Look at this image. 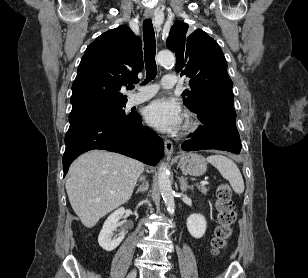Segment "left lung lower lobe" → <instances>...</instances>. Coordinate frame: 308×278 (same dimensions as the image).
I'll return each instance as SVG.
<instances>
[{"instance_id": "0a47b994", "label": "left lung lower lobe", "mask_w": 308, "mask_h": 278, "mask_svg": "<svg viewBox=\"0 0 308 278\" xmlns=\"http://www.w3.org/2000/svg\"><path fill=\"white\" fill-rule=\"evenodd\" d=\"M203 126L198 128L194 138L185 141L182 149L202 150L218 149L238 154L241 141L236 127V112L233 97L223 96L202 105L198 110Z\"/></svg>"}]
</instances>
